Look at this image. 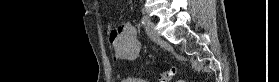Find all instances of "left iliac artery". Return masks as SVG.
<instances>
[{
	"label": "left iliac artery",
	"instance_id": "obj_1",
	"mask_svg": "<svg viewBox=\"0 0 279 82\" xmlns=\"http://www.w3.org/2000/svg\"><path fill=\"white\" fill-rule=\"evenodd\" d=\"M141 22H142L143 24H146V23L150 22V19H149V17H147V16H143L142 19H141Z\"/></svg>",
	"mask_w": 279,
	"mask_h": 82
}]
</instances>
